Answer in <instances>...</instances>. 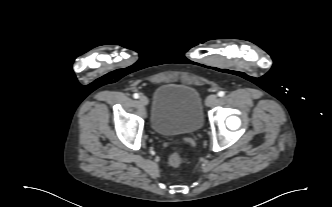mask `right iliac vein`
I'll return each instance as SVG.
<instances>
[{"instance_id": "obj_1", "label": "right iliac vein", "mask_w": 332, "mask_h": 207, "mask_svg": "<svg viewBox=\"0 0 332 207\" xmlns=\"http://www.w3.org/2000/svg\"><path fill=\"white\" fill-rule=\"evenodd\" d=\"M139 102L145 106L148 104V98L146 96H140Z\"/></svg>"}]
</instances>
